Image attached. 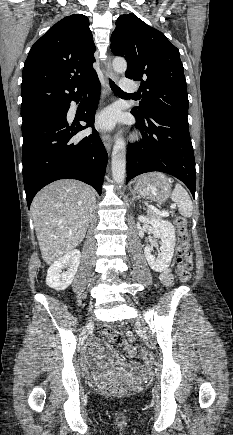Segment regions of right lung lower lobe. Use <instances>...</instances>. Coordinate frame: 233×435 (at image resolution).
Returning <instances> with one entry per match:
<instances>
[{"mask_svg":"<svg viewBox=\"0 0 233 435\" xmlns=\"http://www.w3.org/2000/svg\"><path fill=\"white\" fill-rule=\"evenodd\" d=\"M86 90L90 96L80 120L87 126L79 122L68 125L66 115L70 104L62 112L22 125L23 180L28 208L40 189L58 179L81 180L101 194L108 155L93 126L100 96L98 76L90 81ZM82 94L74 101L78 102ZM88 126L93 128L91 135L78 143L70 141Z\"/></svg>","mask_w":233,"mask_h":435,"instance_id":"obj_1","label":"right lung lower lobe"}]
</instances>
